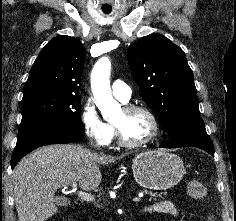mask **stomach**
I'll use <instances>...</instances> for the list:
<instances>
[{
    "mask_svg": "<svg viewBox=\"0 0 236 221\" xmlns=\"http://www.w3.org/2000/svg\"><path fill=\"white\" fill-rule=\"evenodd\" d=\"M132 170L136 182L151 190L174 187L185 172L183 161L179 156L161 150L138 154L133 160Z\"/></svg>",
    "mask_w": 236,
    "mask_h": 221,
    "instance_id": "0dacf381",
    "label": "stomach"
}]
</instances>
